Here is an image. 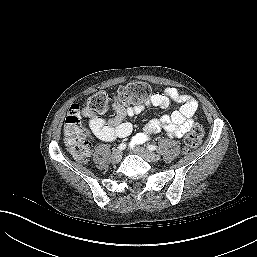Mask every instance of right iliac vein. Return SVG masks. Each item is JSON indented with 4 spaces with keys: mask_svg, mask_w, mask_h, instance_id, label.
Here are the masks:
<instances>
[{
    "mask_svg": "<svg viewBox=\"0 0 257 257\" xmlns=\"http://www.w3.org/2000/svg\"><path fill=\"white\" fill-rule=\"evenodd\" d=\"M122 158V153L120 150L118 149H115L113 152H112V155H111V160L115 163L119 162Z\"/></svg>",
    "mask_w": 257,
    "mask_h": 257,
    "instance_id": "63e3f726",
    "label": "right iliac vein"
}]
</instances>
